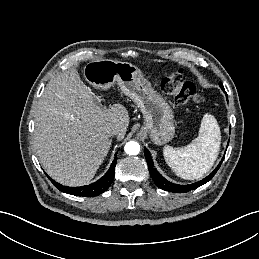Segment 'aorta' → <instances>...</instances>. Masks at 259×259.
Returning a JSON list of instances; mask_svg holds the SVG:
<instances>
[{"mask_svg":"<svg viewBox=\"0 0 259 259\" xmlns=\"http://www.w3.org/2000/svg\"><path fill=\"white\" fill-rule=\"evenodd\" d=\"M124 151L128 155H137L140 152V145L135 141L127 142L124 146Z\"/></svg>","mask_w":259,"mask_h":259,"instance_id":"1","label":"aorta"}]
</instances>
